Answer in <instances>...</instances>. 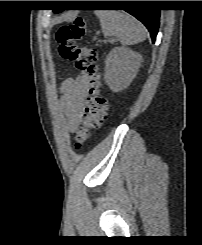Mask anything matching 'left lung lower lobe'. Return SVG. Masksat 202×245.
I'll list each match as a JSON object with an SVG mask.
<instances>
[{"instance_id":"1","label":"left lung lower lobe","mask_w":202,"mask_h":245,"mask_svg":"<svg viewBox=\"0 0 202 245\" xmlns=\"http://www.w3.org/2000/svg\"><path fill=\"white\" fill-rule=\"evenodd\" d=\"M130 3L135 6H142L145 4L144 1H130ZM61 11L62 10H54L55 13H59ZM125 11L136 17L147 27L152 37V41L154 42L159 28L160 10L148 8H132Z\"/></svg>"}]
</instances>
